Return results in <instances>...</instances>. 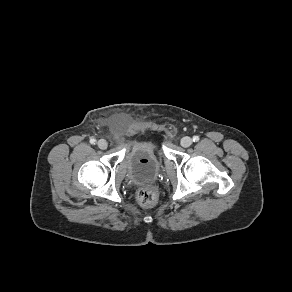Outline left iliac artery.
Listing matches in <instances>:
<instances>
[{"label": "left iliac artery", "mask_w": 292, "mask_h": 292, "mask_svg": "<svg viewBox=\"0 0 292 292\" xmlns=\"http://www.w3.org/2000/svg\"><path fill=\"white\" fill-rule=\"evenodd\" d=\"M193 141L194 142H198L199 141V136H197V135L193 136Z\"/></svg>", "instance_id": "1"}]
</instances>
